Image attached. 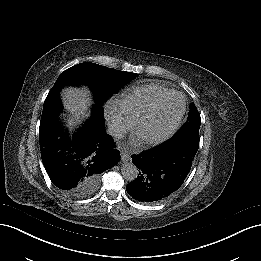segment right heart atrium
<instances>
[{
  "mask_svg": "<svg viewBox=\"0 0 261 261\" xmlns=\"http://www.w3.org/2000/svg\"><path fill=\"white\" fill-rule=\"evenodd\" d=\"M104 115L110 131L115 136H122L129 130V120L123 111H121L118 107L117 101L115 103L109 102L105 106Z\"/></svg>",
  "mask_w": 261,
  "mask_h": 261,
  "instance_id": "right-heart-atrium-1",
  "label": "right heart atrium"
}]
</instances>
